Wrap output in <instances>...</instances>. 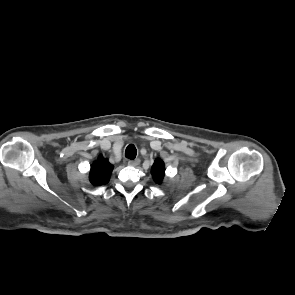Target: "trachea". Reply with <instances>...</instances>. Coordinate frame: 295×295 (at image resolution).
Instances as JSON below:
<instances>
[{
    "label": "trachea",
    "instance_id": "obj_1",
    "mask_svg": "<svg viewBox=\"0 0 295 295\" xmlns=\"http://www.w3.org/2000/svg\"><path fill=\"white\" fill-rule=\"evenodd\" d=\"M137 155V150L133 144L127 146L125 150V157L134 160Z\"/></svg>",
    "mask_w": 295,
    "mask_h": 295
}]
</instances>
